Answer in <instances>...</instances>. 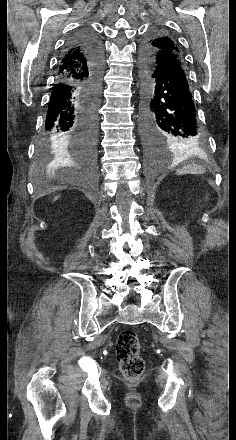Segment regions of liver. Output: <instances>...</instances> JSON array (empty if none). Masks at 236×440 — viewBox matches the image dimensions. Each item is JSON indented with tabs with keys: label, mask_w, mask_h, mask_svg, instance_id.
Returning <instances> with one entry per match:
<instances>
[{
	"label": "liver",
	"mask_w": 236,
	"mask_h": 440,
	"mask_svg": "<svg viewBox=\"0 0 236 440\" xmlns=\"http://www.w3.org/2000/svg\"><path fill=\"white\" fill-rule=\"evenodd\" d=\"M56 199H58V196H56V197L54 198V200H56Z\"/></svg>",
	"instance_id": "liver-1"
}]
</instances>
